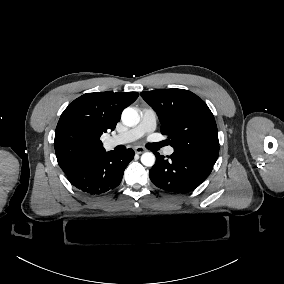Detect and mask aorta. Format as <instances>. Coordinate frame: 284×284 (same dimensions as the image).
<instances>
[{
  "instance_id": "obj_1",
  "label": "aorta",
  "mask_w": 284,
  "mask_h": 284,
  "mask_svg": "<svg viewBox=\"0 0 284 284\" xmlns=\"http://www.w3.org/2000/svg\"><path fill=\"white\" fill-rule=\"evenodd\" d=\"M121 119L124 125L133 127L139 123L140 116L136 109L127 107L122 112ZM141 162L144 166L152 167L155 164V155L152 152H145L141 156Z\"/></svg>"
}]
</instances>
